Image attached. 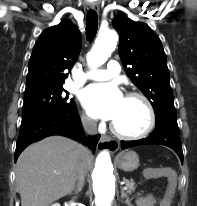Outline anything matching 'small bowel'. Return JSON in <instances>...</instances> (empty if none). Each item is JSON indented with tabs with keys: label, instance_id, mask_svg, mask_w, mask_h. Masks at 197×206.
Listing matches in <instances>:
<instances>
[{
	"label": "small bowel",
	"instance_id": "obj_1",
	"mask_svg": "<svg viewBox=\"0 0 197 206\" xmlns=\"http://www.w3.org/2000/svg\"><path fill=\"white\" fill-rule=\"evenodd\" d=\"M137 206H162V201L158 203L150 196H140L137 199Z\"/></svg>",
	"mask_w": 197,
	"mask_h": 206
}]
</instances>
